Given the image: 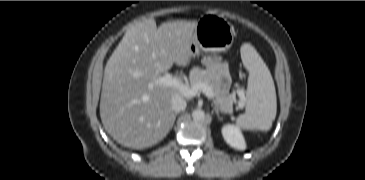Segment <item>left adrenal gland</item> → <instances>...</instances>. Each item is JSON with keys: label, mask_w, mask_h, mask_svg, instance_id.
<instances>
[{"label": "left adrenal gland", "mask_w": 365, "mask_h": 180, "mask_svg": "<svg viewBox=\"0 0 365 180\" xmlns=\"http://www.w3.org/2000/svg\"><path fill=\"white\" fill-rule=\"evenodd\" d=\"M214 111H215V113H216V115L219 117V113L221 112V113H225V112H223V111H221L219 108H218V106H214Z\"/></svg>", "instance_id": "a2214340"}]
</instances>
